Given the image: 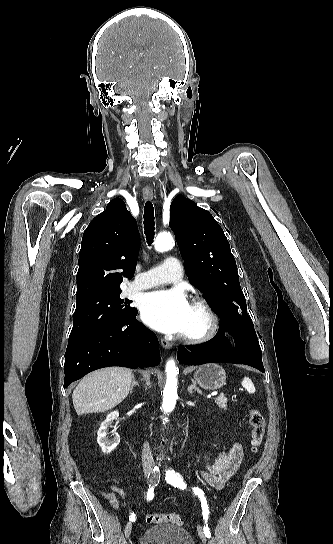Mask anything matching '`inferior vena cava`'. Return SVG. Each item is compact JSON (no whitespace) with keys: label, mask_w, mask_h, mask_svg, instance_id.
<instances>
[{"label":"inferior vena cava","mask_w":333,"mask_h":544,"mask_svg":"<svg viewBox=\"0 0 333 544\" xmlns=\"http://www.w3.org/2000/svg\"><path fill=\"white\" fill-rule=\"evenodd\" d=\"M142 464L143 468H153L154 467V460L152 456V452L150 450V446L148 442H145L143 444V450H142Z\"/></svg>","instance_id":"inferior-vena-cava-1"}]
</instances>
